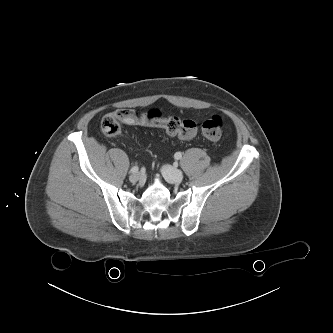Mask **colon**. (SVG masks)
Masks as SVG:
<instances>
[{
	"mask_svg": "<svg viewBox=\"0 0 333 333\" xmlns=\"http://www.w3.org/2000/svg\"><path fill=\"white\" fill-rule=\"evenodd\" d=\"M134 117L141 124L161 127L170 135H176L185 140L193 139L197 134V125L192 120H181L173 116L162 118L148 114L134 116L127 109L117 110L103 116L100 122L101 131L108 136L117 135L121 131L122 123L131 124ZM201 129L207 139L218 140L222 135L223 120L220 116H212L202 123Z\"/></svg>",
	"mask_w": 333,
	"mask_h": 333,
	"instance_id": "1",
	"label": "colon"
}]
</instances>
